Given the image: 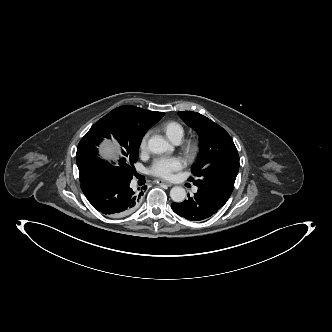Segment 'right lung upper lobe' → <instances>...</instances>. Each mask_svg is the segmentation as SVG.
<instances>
[{"label": "right lung upper lobe", "mask_w": 332, "mask_h": 332, "mask_svg": "<svg viewBox=\"0 0 332 332\" xmlns=\"http://www.w3.org/2000/svg\"><path fill=\"white\" fill-rule=\"evenodd\" d=\"M123 109L128 111L130 114L136 116V117H146V118H154V119H160L164 116L163 112H154V111H148L144 110L135 106H122Z\"/></svg>", "instance_id": "1"}]
</instances>
